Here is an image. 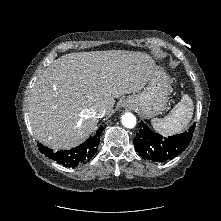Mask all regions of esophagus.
<instances>
[{"instance_id":"1","label":"esophagus","mask_w":221,"mask_h":221,"mask_svg":"<svg viewBox=\"0 0 221 221\" xmlns=\"http://www.w3.org/2000/svg\"><path fill=\"white\" fill-rule=\"evenodd\" d=\"M125 106H126V107L131 106L130 102H129V103H128V102H126V103H125Z\"/></svg>"}]
</instances>
